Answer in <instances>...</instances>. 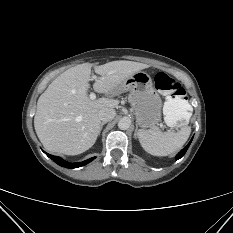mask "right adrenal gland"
<instances>
[{
	"instance_id": "2a0ac1e0",
	"label": "right adrenal gland",
	"mask_w": 233,
	"mask_h": 233,
	"mask_svg": "<svg viewBox=\"0 0 233 233\" xmlns=\"http://www.w3.org/2000/svg\"><path fill=\"white\" fill-rule=\"evenodd\" d=\"M106 124V122H102L101 123V127H100V131H99V135H100V133H101V131H102V128H103V126Z\"/></svg>"
}]
</instances>
